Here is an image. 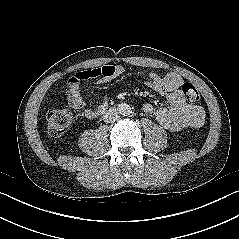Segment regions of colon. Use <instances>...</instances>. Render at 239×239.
Masks as SVG:
<instances>
[{"mask_svg":"<svg viewBox=\"0 0 239 239\" xmlns=\"http://www.w3.org/2000/svg\"><path fill=\"white\" fill-rule=\"evenodd\" d=\"M181 91L186 99L192 103L200 99L197 88L189 83H183ZM74 119V112L70 109L51 110L47 115L48 130L53 136L62 135L71 125Z\"/></svg>","mask_w":239,"mask_h":239,"instance_id":"colon-1","label":"colon"}]
</instances>
